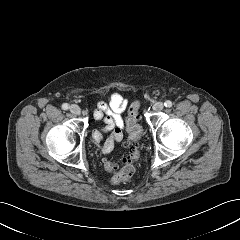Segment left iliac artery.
Listing matches in <instances>:
<instances>
[{"instance_id": "1", "label": "left iliac artery", "mask_w": 240, "mask_h": 240, "mask_svg": "<svg viewBox=\"0 0 240 240\" xmlns=\"http://www.w3.org/2000/svg\"><path fill=\"white\" fill-rule=\"evenodd\" d=\"M165 107L170 108L172 106V102L170 100L165 101L164 103Z\"/></svg>"}]
</instances>
